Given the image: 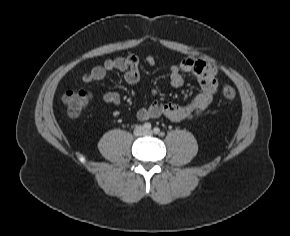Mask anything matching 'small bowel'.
<instances>
[{"mask_svg": "<svg viewBox=\"0 0 290 236\" xmlns=\"http://www.w3.org/2000/svg\"><path fill=\"white\" fill-rule=\"evenodd\" d=\"M145 62L147 65L153 66L155 59L148 56ZM139 63V58L135 54L107 59L103 64L84 74L82 81L89 85L102 80L108 72L116 70L123 74L127 83L135 84L140 79ZM184 72L190 73L195 78L201 87V91L189 103L184 105L153 102L147 107L140 108L136 113L139 120L163 117L173 122H182L197 117L211 105L218 88L216 66L190 57L184 58L179 65L173 64L170 66L169 80L172 86L180 87L185 83ZM103 100L113 105L121 103V97L116 92L105 93Z\"/></svg>", "mask_w": 290, "mask_h": 236, "instance_id": "small-bowel-1", "label": "small bowel"}]
</instances>
